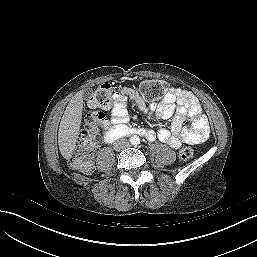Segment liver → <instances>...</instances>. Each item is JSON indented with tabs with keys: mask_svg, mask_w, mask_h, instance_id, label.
Here are the masks:
<instances>
[{
	"mask_svg": "<svg viewBox=\"0 0 257 257\" xmlns=\"http://www.w3.org/2000/svg\"><path fill=\"white\" fill-rule=\"evenodd\" d=\"M83 94V91H79L72 97L60 122L58 146L65 159H70L76 148L82 119Z\"/></svg>",
	"mask_w": 257,
	"mask_h": 257,
	"instance_id": "1",
	"label": "liver"
}]
</instances>
